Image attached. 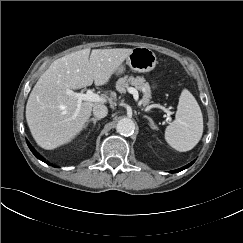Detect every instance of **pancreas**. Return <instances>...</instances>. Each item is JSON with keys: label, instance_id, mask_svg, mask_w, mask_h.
Instances as JSON below:
<instances>
[{"label": "pancreas", "instance_id": "obj_1", "mask_svg": "<svg viewBox=\"0 0 243 243\" xmlns=\"http://www.w3.org/2000/svg\"><path fill=\"white\" fill-rule=\"evenodd\" d=\"M129 85L134 86L137 90L142 91L143 93V99L142 103L143 105H148L150 103L151 99V89L150 85L145 82V79L143 77L137 76H124L122 78H119L116 82V90L120 93H125L126 90L129 88Z\"/></svg>", "mask_w": 243, "mask_h": 243}]
</instances>
